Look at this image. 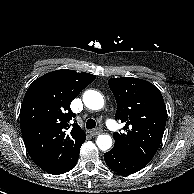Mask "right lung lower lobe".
<instances>
[{"mask_svg":"<svg viewBox=\"0 0 194 194\" xmlns=\"http://www.w3.org/2000/svg\"><path fill=\"white\" fill-rule=\"evenodd\" d=\"M78 157H79V153L71 160L70 163L66 164L57 173H54V175H56V174H63V173H66V172L70 171L76 165Z\"/></svg>","mask_w":194,"mask_h":194,"instance_id":"98d812e1","label":"right lung lower lobe"}]
</instances>
